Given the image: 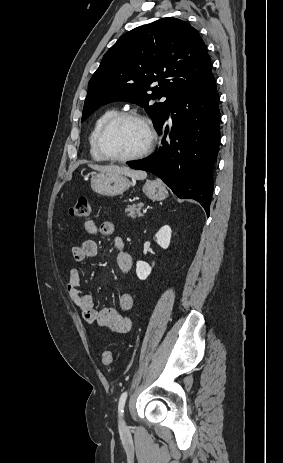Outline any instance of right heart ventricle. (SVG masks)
Segmentation results:
<instances>
[{
  "instance_id": "1",
  "label": "right heart ventricle",
  "mask_w": 283,
  "mask_h": 463,
  "mask_svg": "<svg viewBox=\"0 0 283 463\" xmlns=\"http://www.w3.org/2000/svg\"><path fill=\"white\" fill-rule=\"evenodd\" d=\"M118 110L115 107H110L106 110H104L102 113H100L97 118L95 119L93 126L90 130L89 136H88V146H89V153L90 156L97 161H104L105 158L101 155L97 148V134L98 131L100 130L101 126L113 115L117 114Z\"/></svg>"
}]
</instances>
